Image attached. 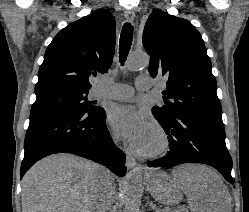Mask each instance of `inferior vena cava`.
<instances>
[{
    "instance_id": "1",
    "label": "inferior vena cava",
    "mask_w": 249,
    "mask_h": 212,
    "mask_svg": "<svg viewBox=\"0 0 249 212\" xmlns=\"http://www.w3.org/2000/svg\"><path fill=\"white\" fill-rule=\"evenodd\" d=\"M107 168L99 166L98 176L96 178V188L93 204V212H114L112 178L109 176ZM135 180H142L139 172L138 176H132Z\"/></svg>"
}]
</instances>
